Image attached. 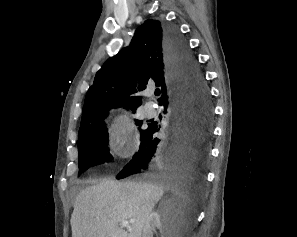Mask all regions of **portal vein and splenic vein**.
I'll return each instance as SVG.
<instances>
[{"label": "portal vein and splenic vein", "mask_w": 297, "mask_h": 237, "mask_svg": "<svg viewBox=\"0 0 297 237\" xmlns=\"http://www.w3.org/2000/svg\"><path fill=\"white\" fill-rule=\"evenodd\" d=\"M135 220H130V221H122L121 222V227L123 228H130V224L134 223Z\"/></svg>", "instance_id": "portal-vein-and-splenic-vein-1"}]
</instances>
